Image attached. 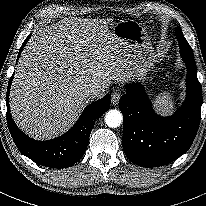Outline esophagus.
<instances>
[{"mask_svg":"<svg viewBox=\"0 0 206 206\" xmlns=\"http://www.w3.org/2000/svg\"><path fill=\"white\" fill-rule=\"evenodd\" d=\"M120 97H121L120 92L117 91V90L114 91V92L112 93V95H111V103H112L113 105H117L118 102H119V100H120Z\"/></svg>","mask_w":206,"mask_h":206,"instance_id":"34e87169","label":"esophagus"}]
</instances>
